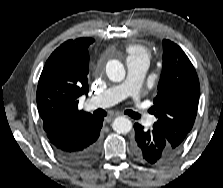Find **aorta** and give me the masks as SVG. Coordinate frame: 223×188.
Returning a JSON list of instances; mask_svg holds the SVG:
<instances>
[{
  "label": "aorta",
  "instance_id": "762f6f07",
  "mask_svg": "<svg viewBox=\"0 0 223 188\" xmlns=\"http://www.w3.org/2000/svg\"><path fill=\"white\" fill-rule=\"evenodd\" d=\"M106 74L111 81L120 82L125 78L126 72L120 61L110 60L106 65ZM112 128L119 134H127L132 129V122L124 116H119L113 121Z\"/></svg>",
  "mask_w": 223,
  "mask_h": 188
}]
</instances>
